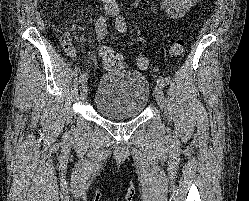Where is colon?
<instances>
[{
  "label": "colon",
  "mask_w": 249,
  "mask_h": 201,
  "mask_svg": "<svg viewBox=\"0 0 249 201\" xmlns=\"http://www.w3.org/2000/svg\"><path fill=\"white\" fill-rule=\"evenodd\" d=\"M184 51V41L181 39L176 40L171 48H170V54L172 56H179ZM101 56L104 62V66L108 69L112 68H119L124 66V60L123 58L114 53L109 48H103L101 50ZM138 66L142 69H147L149 67V62L145 57H140L138 59Z\"/></svg>",
  "instance_id": "colon-1"
}]
</instances>
